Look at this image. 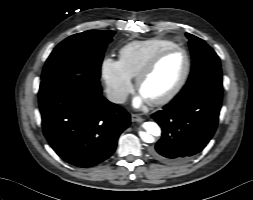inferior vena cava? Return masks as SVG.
Segmentation results:
<instances>
[{"instance_id":"1","label":"inferior vena cava","mask_w":253,"mask_h":200,"mask_svg":"<svg viewBox=\"0 0 253 200\" xmlns=\"http://www.w3.org/2000/svg\"><path fill=\"white\" fill-rule=\"evenodd\" d=\"M107 99L113 103H125L127 94L118 90H108Z\"/></svg>"}]
</instances>
